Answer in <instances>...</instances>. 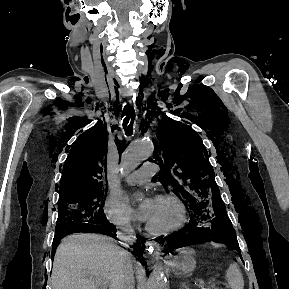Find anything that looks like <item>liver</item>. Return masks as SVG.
Here are the masks:
<instances>
[{"label": "liver", "mask_w": 289, "mask_h": 289, "mask_svg": "<svg viewBox=\"0 0 289 289\" xmlns=\"http://www.w3.org/2000/svg\"><path fill=\"white\" fill-rule=\"evenodd\" d=\"M130 259V253L108 237L70 235L55 253L52 289H117L123 266Z\"/></svg>", "instance_id": "liver-1"}]
</instances>
